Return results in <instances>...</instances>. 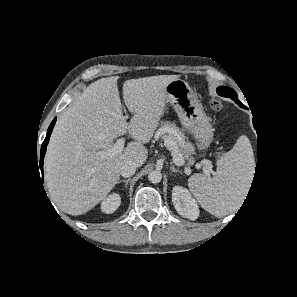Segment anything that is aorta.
Instances as JSON below:
<instances>
[{
  "label": "aorta",
  "mask_w": 297,
  "mask_h": 297,
  "mask_svg": "<svg viewBox=\"0 0 297 297\" xmlns=\"http://www.w3.org/2000/svg\"><path fill=\"white\" fill-rule=\"evenodd\" d=\"M162 179V173L159 170H153L148 174V180L151 183H159Z\"/></svg>",
  "instance_id": "aorta-1"
}]
</instances>
